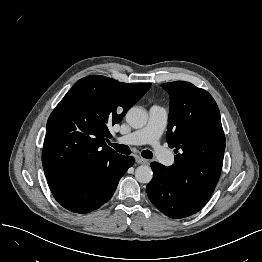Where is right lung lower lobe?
<instances>
[{
	"label": "right lung lower lobe",
	"mask_w": 262,
	"mask_h": 262,
	"mask_svg": "<svg viewBox=\"0 0 262 262\" xmlns=\"http://www.w3.org/2000/svg\"><path fill=\"white\" fill-rule=\"evenodd\" d=\"M134 163L132 156H122L96 177L48 181L57 202L75 213H89L106 203L119 180Z\"/></svg>",
	"instance_id": "obj_1"
}]
</instances>
